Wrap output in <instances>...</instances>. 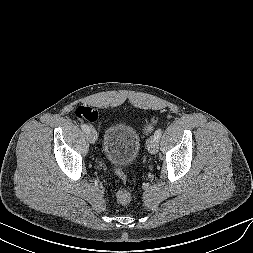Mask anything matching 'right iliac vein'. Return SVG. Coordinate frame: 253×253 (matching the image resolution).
<instances>
[{
	"instance_id": "1",
	"label": "right iliac vein",
	"mask_w": 253,
	"mask_h": 253,
	"mask_svg": "<svg viewBox=\"0 0 253 253\" xmlns=\"http://www.w3.org/2000/svg\"><path fill=\"white\" fill-rule=\"evenodd\" d=\"M97 132L94 129H90L87 132V138L90 143H95L97 141Z\"/></svg>"
}]
</instances>
